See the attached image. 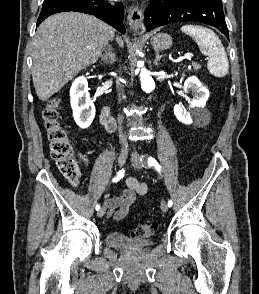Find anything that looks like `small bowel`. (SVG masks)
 I'll return each mask as SVG.
<instances>
[{"mask_svg": "<svg viewBox=\"0 0 259 294\" xmlns=\"http://www.w3.org/2000/svg\"><path fill=\"white\" fill-rule=\"evenodd\" d=\"M81 157L84 164L87 165V159L84 156ZM125 184L126 188L118 195L106 198L104 201L108 210V215L113 216L115 220H121L126 217L137 195H144L147 193V186L135 178H127Z\"/></svg>", "mask_w": 259, "mask_h": 294, "instance_id": "1", "label": "small bowel"}]
</instances>
